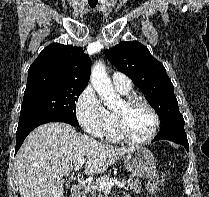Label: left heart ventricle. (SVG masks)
Listing matches in <instances>:
<instances>
[{
	"mask_svg": "<svg viewBox=\"0 0 209 197\" xmlns=\"http://www.w3.org/2000/svg\"><path fill=\"white\" fill-rule=\"evenodd\" d=\"M115 112L123 116L126 130L131 137L144 139L150 134L154 124L153 115L142 103L127 107L122 102Z\"/></svg>",
	"mask_w": 209,
	"mask_h": 197,
	"instance_id": "1",
	"label": "left heart ventricle"
}]
</instances>
